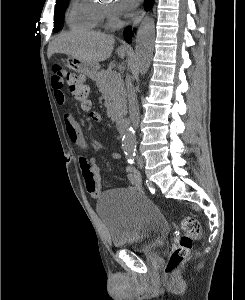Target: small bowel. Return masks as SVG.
<instances>
[{"mask_svg": "<svg viewBox=\"0 0 245 300\" xmlns=\"http://www.w3.org/2000/svg\"><path fill=\"white\" fill-rule=\"evenodd\" d=\"M63 82V79L55 74L51 78L55 101L58 105H64L66 102L65 95L63 93ZM89 118L95 123H102V116L98 111L91 110L89 112ZM64 124L69 139L83 150H87L88 144L84 138L82 129L71 113L67 112L64 114ZM110 156L112 159L121 158L119 153H112ZM79 166L87 192L92 198H99L102 194V188L99 167L96 163V159L94 157L87 158L85 156H80ZM126 172L129 181L128 188L132 190H139L141 188V176L139 172L134 167H128Z\"/></svg>", "mask_w": 245, "mask_h": 300, "instance_id": "obj_1", "label": "small bowel"}]
</instances>
